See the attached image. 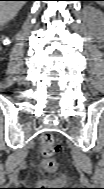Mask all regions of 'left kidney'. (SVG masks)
Here are the masks:
<instances>
[{"label":"left kidney","instance_id":"obj_1","mask_svg":"<svg viewBox=\"0 0 104 189\" xmlns=\"http://www.w3.org/2000/svg\"><path fill=\"white\" fill-rule=\"evenodd\" d=\"M87 14H88L89 18H91V19L97 18L99 22H101V23L103 22V14H102V12L92 9V10L88 11Z\"/></svg>","mask_w":104,"mask_h":189}]
</instances>
